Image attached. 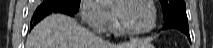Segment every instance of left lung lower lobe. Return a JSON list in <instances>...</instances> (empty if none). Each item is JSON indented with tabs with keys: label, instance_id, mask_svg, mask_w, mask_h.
I'll return each instance as SVG.
<instances>
[{
	"label": "left lung lower lobe",
	"instance_id": "left-lung-lower-lobe-1",
	"mask_svg": "<svg viewBox=\"0 0 213 48\" xmlns=\"http://www.w3.org/2000/svg\"><path fill=\"white\" fill-rule=\"evenodd\" d=\"M168 28L178 29V30L182 31L190 39L188 23H182L179 21L168 20V21H165L163 29H168Z\"/></svg>",
	"mask_w": 213,
	"mask_h": 48
}]
</instances>
